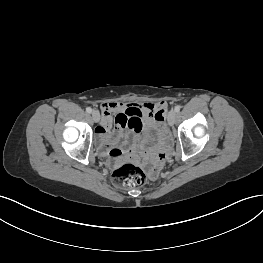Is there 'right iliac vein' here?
Returning a JSON list of instances; mask_svg holds the SVG:
<instances>
[{
    "label": "right iliac vein",
    "instance_id": "obj_1",
    "mask_svg": "<svg viewBox=\"0 0 263 263\" xmlns=\"http://www.w3.org/2000/svg\"><path fill=\"white\" fill-rule=\"evenodd\" d=\"M92 119L94 120V122H99V120H100V114H99V112L98 111H96V110H94L93 112H92Z\"/></svg>",
    "mask_w": 263,
    "mask_h": 263
}]
</instances>
